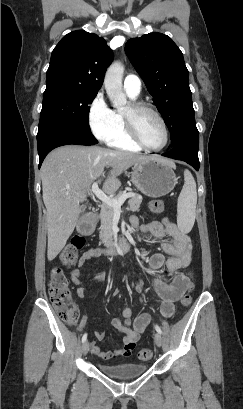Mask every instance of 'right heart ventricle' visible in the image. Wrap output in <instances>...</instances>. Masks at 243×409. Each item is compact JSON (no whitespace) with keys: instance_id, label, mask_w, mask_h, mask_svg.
Listing matches in <instances>:
<instances>
[{"instance_id":"e07e8e85","label":"right heart ventricle","mask_w":243,"mask_h":409,"mask_svg":"<svg viewBox=\"0 0 243 409\" xmlns=\"http://www.w3.org/2000/svg\"><path fill=\"white\" fill-rule=\"evenodd\" d=\"M127 95L132 100H136L138 97V96L131 95L129 93H127ZM117 115L120 119L121 126L116 136L111 141H109L110 145L114 148L128 150V151L140 150L141 148L129 138L121 114L118 112Z\"/></svg>"}]
</instances>
